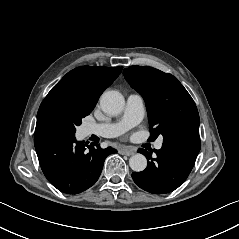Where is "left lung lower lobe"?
Masks as SVG:
<instances>
[{
  "label": "left lung lower lobe",
  "mask_w": 239,
  "mask_h": 239,
  "mask_svg": "<svg viewBox=\"0 0 239 239\" xmlns=\"http://www.w3.org/2000/svg\"><path fill=\"white\" fill-rule=\"evenodd\" d=\"M199 134L180 133L164 139L162 148L152 151L139 149L146 156L147 167L142 172H133L134 182L143 190L154 194L168 193L177 189L191 172L200 151Z\"/></svg>",
  "instance_id": "left-lung-lower-lobe-1"
}]
</instances>
